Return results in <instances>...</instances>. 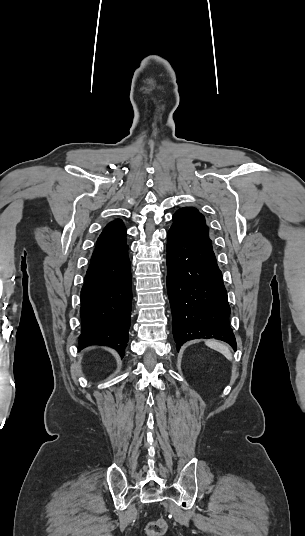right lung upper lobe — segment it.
Segmentation results:
<instances>
[{
  "label": "right lung upper lobe",
  "instance_id": "right-lung-upper-lobe-1",
  "mask_svg": "<svg viewBox=\"0 0 305 536\" xmlns=\"http://www.w3.org/2000/svg\"><path fill=\"white\" fill-rule=\"evenodd\" d=\"M126 244V228L119 219L110 222L102 231L92 256L121 248Z\"/></svg>",
  "mask_w": 305,
  "mask_h": 536
}]
</instances>
